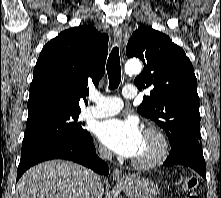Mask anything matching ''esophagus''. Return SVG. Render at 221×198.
Returning <instances> with one entry per match:
<instances>
[{"label": "esophagus", "mask_w": 221, "mask_h": 198, "mask_svg": "<svg viewBox=\"0 0 221 198\" xmlns=\"http://www.w3.org/2000/svg\"><path fill=\"white\" fill-rule=\"evenodd\" d=\"M114 40L117 44L121 45L122 42V29L120 27H116L114 29ZM112 178L116 182H123L124 176L122 174V170L116 168L112 172Z\"/></svg>", "instance_id": "1"}]
</instances>
